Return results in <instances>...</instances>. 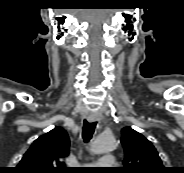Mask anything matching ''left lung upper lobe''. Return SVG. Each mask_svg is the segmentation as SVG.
<instances>
[{"instance_id":"left-lung-upper-lobe-1","label":"left lung upper lobe","mask_w":184,"mask_h":173,"mask_svg":"<svg viewBox=\"0 0 184 173\" xmlns=\"http://www.w3.org/2000/svg\"><path fill=\"white\" fill-rule=\"evenodd\" d=\"M121 143L124 148V167L120 173H165L155 147L142 134L131 127L122 129Z\"/></svg>"}]
</instances>
